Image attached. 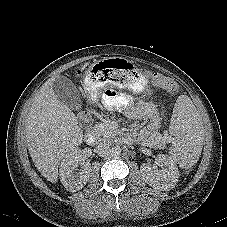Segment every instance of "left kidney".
<instances>
[{"label": "left kidney", "mask_w": 227, "mask_h": 227, "mask_svg": "<svg viewBox=\"0 0 227 227\" xmlns=\"http://www.w3.org/2000/svg\"><path fill=\"white\" fill-rule=\"evenodd\" d=\"M156 161L163 166L162 169L155 170L148 165H142V176L154 189L169 191L175 187L178 181V168L173 159L166 155H158Z\"/></svg>", "instance_id": "5707ae66"}]
</instances>
